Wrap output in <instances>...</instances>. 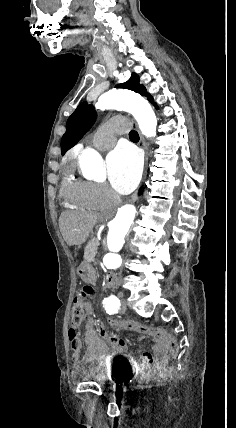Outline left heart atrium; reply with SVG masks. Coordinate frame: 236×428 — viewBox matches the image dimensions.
<instances>
[{"label":"left heart atrium","mask_w":236,"mask_h":428,"mask_svg":"<svg viewBox=\"0 0 236 428\" xmlns=\"http://www.w3.org/2000/svg\"><path fill=\"white\" fill-rule=\"evenodd\" d=\"M107 173L112 187L119 193L133 191L140 181L142 160L132 146H119L107 157Z\"/></svg>","instance_id":"39dd6f15"}]
</instances>
